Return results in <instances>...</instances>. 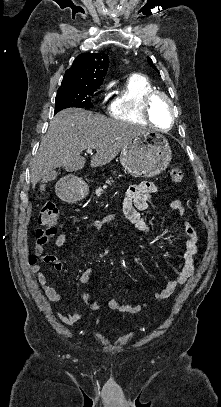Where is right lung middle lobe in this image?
<instances>
[{
    "instance_id": "right-lung-middle-lobe-1",
    "label": "right lung middle lobe",
    "mask_w": 221,
    "mask_h": 407,
    "mask_svg": "<svg viewBox=\"0 0 221 407\" xmlns=\"http://www.w3.org/2000/svg\"><path fill=\"white\" fill-rule=\"evenodd\" d=\"M97 88H61L55 98V112L69 107L92 108L91 96Z\"/></svg>"
}]
</instances>
